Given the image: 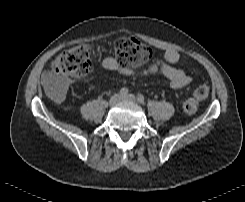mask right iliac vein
<instances>
[{
	"label": "right iliac vein",
	"instance_id": "63e3f726",
	"mask_svg": "<svg viewBox=\"0 0 245 202\" xmlns=\"http://www.w3.org/2000/svg\"><path fill=\"white\" fill-rule=\"evenodd\" d=\"M122 100V96L120 94H114L110 100H109V104L111 106L117 104L118 102H120Z\"/></svg>",
	"mask_w": 245,
	"mask_h": 202
}]
</instances>
